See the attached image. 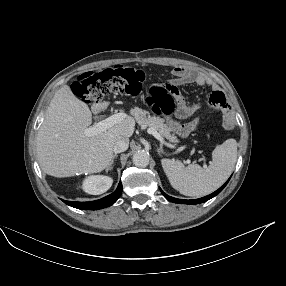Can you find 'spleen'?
<instances>
[{"mask_svg":"<svg viewBox=\"0 0 286 286\" xmlns=\"http://www.w3.org/2000/svg\"><path fill=\"white\" fill-rule=\"evenodd\" d=\"M237 157L235 139H228L212 152L207 168L198 164L187 167L179 160L162 159L161 164L172 187L185 196H205L218 189L233 171Z\"/></svg>","mask_w":286,"mask_h":286,"instance_id":"1","label":"spleen"}]
</instances>
